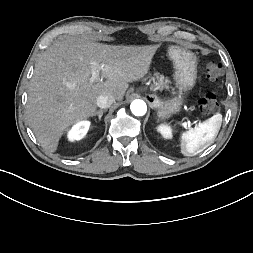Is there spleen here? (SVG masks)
I'll return each mask as SVG.
<instances>
[{
  "label": "spleen",
  "mask_w": 253,
  "mask_h": 253,
  "mask_svg": "<svg viewBox=\"0 0 253 253\" xmlns=\"http://www.w3.org/2000/svg\"><path fill=\"white\" fill-rule=\"evenodd\" d=\"M222 123V115L217 113L181 134V153L184 156H194L210 143L218 134Z\"/></svg>",
  "instance_id": "spleen-1"
}]
</instances>
